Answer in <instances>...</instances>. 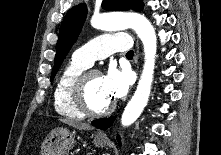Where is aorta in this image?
<instances>
[{
	"instance_id": "1",
	"label": "aorta",
	"mask_w": 221,
	"mask_h": 155,
	"mask_svg": "<svg viewBox=\"0 0 221 155\" xmlns=\"http://www.w3.org/2000/svg\"><path fill=\"white\" fill-rule=\"evenodd\" d=\"M91 25L104 31H116L132 28L144 46V66L138 86L128 102L121 117L123 126L134 123L145 108L153 81L155 56L157 50L156 33L149 20L138 13L100 14L91 19Z\"/></svg>"
}]
</instances>
